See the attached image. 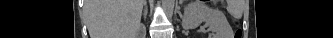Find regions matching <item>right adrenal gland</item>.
Masks as SVG:
<instances>
[{
    "instance_id": "2a0ac1e0",
    "label": "right adrenal gland",
    "mask_w": 333,
    "mask_h": 38,
    "mask_svg": "<svg viewBox=\"0 0 333 38\" xmlns=\"http://www.w3.org/2000/svg\"><path fill=\"white\" fill-rule=\"evenodd\" d=\"M146 14H147V9H145V14L144 15L146 16Z\"/></svg>"
}]
</instances>
